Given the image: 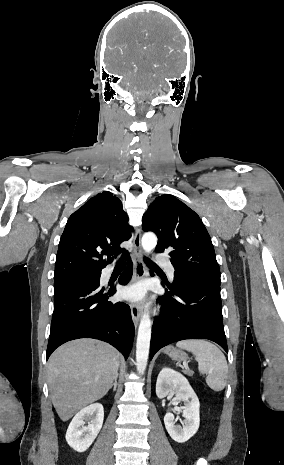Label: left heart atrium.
Returning <instances> with one entry per match:
<instances>
[{
	"label": "left heart atrium",
	"mask_w": 284,
	"mask_h": 465,
	"mask_svg": "<svg viewBox=\"0 0 284 465\" xmlns=\"http://www.w3.org/2000/svg\"><path fill=\"white\" fill-rule=\"evenodd\" d=\"M143 294L144 288L142 286L130 287L124 291L125 298L131 301L139 300L142 298Z\"/></svg>",
	"instance_id": "left-heart-atrium-1"
}]
</instances>
